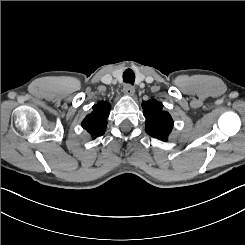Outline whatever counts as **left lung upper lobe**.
Wrapping results in <instances>:
<instances>
[{
	"instance_id": "5c2ea615",
	"label": "left lung upper lobe",
	"mask_w": 245,
	"mask_h": 245,
	"mask_svg": "<svg viewBox=\"0 0 245 245\" xmlns=\"http://www.w3.org/2000/svg\"><path fill=\"white\" fill-rule=\"evenodd\" d=\"M143 114L146 118V133L154 138L166 141L173 127L170 114L163 111V105L156 100L142 103Z\"/></svg>"
}]
</instances>
